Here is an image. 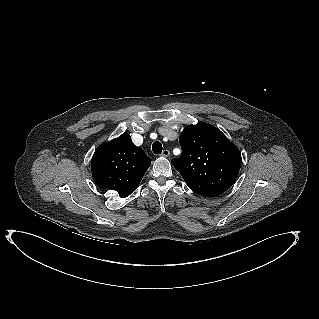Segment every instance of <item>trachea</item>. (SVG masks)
Instances as JSON below:
<instances>
[{
  "mask_svg": "<svg viewBox=\"0 0 319 319\" xmlns=\"http://www.w3.org/2000/svg\"><path fill=\"white\" fill-rule=\"evenodd\" d=\"M152 150L154 152V154H161L162 152V144L159 142V141H155L153 144H152Z\"/></svg>",
  "mask_w": 319,
  "mask_h": 319,
  "instance_id": "1",
  "label": "trachea"
}]
</instances>
